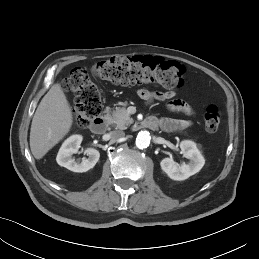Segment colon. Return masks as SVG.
Masks as SVG:
<instances>
[{
    "instance_id": "5ec220e1",
    "label": "colon",
    "mask_w": 259,
    "mask_h": 259,
    "mask_svg": "<svg viewBox=\"0 0 259 259\" xmlns=\"http://www.w3.org/2000/svg\"><path fill=\"white\" fill-rule=\"evenodd\" d=\"M92 74L102 80L120 85L156 84L168 89L184 85V68L175 61H166L154 56L115 57L91 68ZM64 88L75 96L74 119L77 126L85 128L101 111V92L86 69L71 70ZM221 123V111L209 105L204 113V126L215 132Z\"/></svg>"
}]
</instances>
